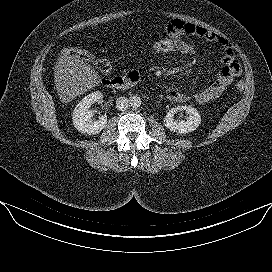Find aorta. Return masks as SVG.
Listing matches in <instances>:
<instances>
[{
    "label": "aorta",
    "mask_w": 272,
    "mask_h": 272,
    "mask_svg": "<svg viewBox=\"0 0 272 272\" xmlns=\"http://www.w3.org/2000/svg\"><path fill=\"white\" fill-rule=\"evenodd\" d=\"M141 98L139 96H132L129 99L130 106L132 108H138L141 106Z\"/></svg>",
    "instance_id": "1"
}]
</instances>
